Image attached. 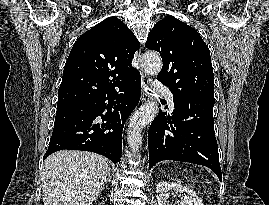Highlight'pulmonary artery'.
I'll return each instance as SVG.
<instances>
[{"mask_svg": "<svg viewBox=\"0 0 269 205\" xmlns=\"http://www.w3.org/2000/svg\"><path fill=\"white\" fill-rule=\"evenodd\" d=\"M152 86L155 89L162 91L164 93V95L166 96L169 105L170 106L173 105V95H172V92L169 89L165 88L163 86V84L160 81H158V80L153 81L152 82Z\"/></svg>", "mask_w": 269, "mask_h": 205, "instance_id": "1", "label": "pulmonary artery"}]
</instances>
